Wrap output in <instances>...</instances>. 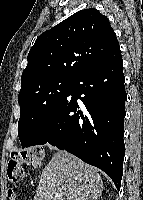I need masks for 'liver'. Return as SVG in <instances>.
<instances>
[{
    "mask_svg": "<svg viewBox=\"0 0 143 200\" xmlns=\"http://www.w3.org/2000/svg\"><path fill=\"white\" fill-rule=\"evenodd\" d=\"M102 192L103 181L95 167L58 151L42 171L34 200H100Z\"/></svg>",
    "mask_w": 143,
    "mask_h": 200,
    "instance_id": "1",
    "label": "liver"
}]
</instances>
